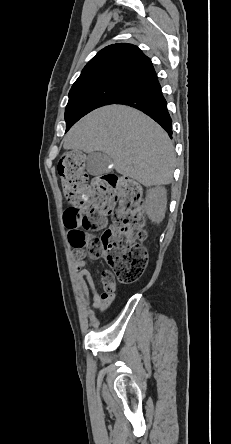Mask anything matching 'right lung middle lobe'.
Returning <instances> with one entry per match:
<instances>
[{"mask_svg": "<svg viewBox=\"0 0 231 444\" xmlns=\"http://www.w3.org/2000/svg\"><path fill=\"white\" fill-rule=\"evenodd\" d=\"M129 91L130 89L125 86L112 83L70 90L65 111L66 132L90 111L104 105L113 104Z\"/></svg>", "mask_w": 231, "mask_h": 444, "instance_id": "obj_1", "label": "right lung middle lobe"}]
</instances>
